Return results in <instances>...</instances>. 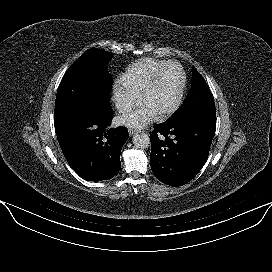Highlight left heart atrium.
<instances>
[{
  "label": "left heart atrium",
  "instance_id": "39dd6f15",
  "mask_svg": "<svg viewBox=\"0 0 272 272\" xmlns=\"http://www.w3.org/2000/svg\"><path fill=\"white\" fill-rule=\"evenodd\" d=\"M156 113L147 105L142 104L135 110L123 114L120 122L131 127H142L156 117Z\"/></svg>",
  "mask_w": 272,
  "mask_h": 272
}]
</instances>
